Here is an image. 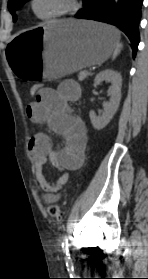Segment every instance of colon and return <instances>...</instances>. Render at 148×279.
Wrapping results in <instances>:
<instances>
[{
    "label": "colon",
    "mask_w": 148,
    "mask_h": 279,
    "mask_svg": "<svg viewBox=\"0 0 148 279\" xmlns=\"http://www.w3.org/2000/svg\"><path fill=\"white\" fill-rule=\"evenodd\" d=\"M42 89H43L42 85L34 84L30 87L29 93L31 96L38 97L40 92L42 91ZM47 212L51 217L58 219V220H60L63 215L61 206L58 203L49 204L47 207Z\"/></svg>",
    "instance_id": "5ec220e1"
}]
</instances>
